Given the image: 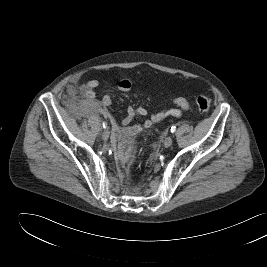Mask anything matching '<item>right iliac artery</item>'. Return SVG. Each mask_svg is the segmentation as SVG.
Wrapping results in <instances>:
<instances>
[{"label":"right iliac artery","instance_id":"right-iliac-artery-1","mask_svg":"<svg viewBox=\"0 0 267 267\" xmlns=\"http://www.w3.org/2000/svg\"><path fill=\"white\" fill-rule=\"evenodd\" d=\"M103 128H106L107 127V123L106 122H103Z\"/></svg>","mask_w":267,"mask_h":267}]
</instances>
